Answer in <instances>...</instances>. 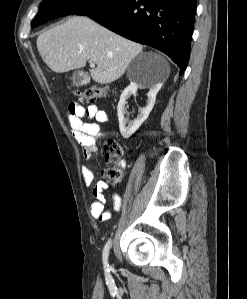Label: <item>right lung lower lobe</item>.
I'll list each match as a JSON object with an SVG mask.
<instances>
[{
	"label": "right lung lower lobe",
	"mask_w": 247,
	"mask_h": 299,
	"mask_svg": "<svg viewBox=\"0 0 247 299\" xmlns=\"http://www.w3.org/2000/svg\"><path fill=\"white\" fill-rule=\"evenodd\" d=\"M196 0H124L88 16L132 41L152 46L186 69Z\"/></svg>",
	"instance_id": "1"
}]
</instances>
